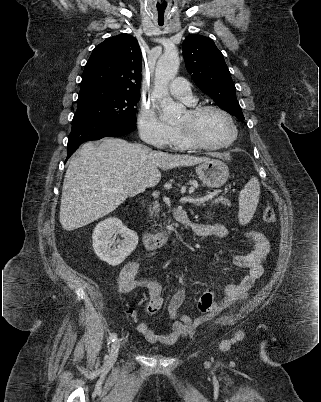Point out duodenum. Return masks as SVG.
Instances as JSON below:
<instances>
[{"mask_svg": "<svg viewBox=\"0 0 321 402\" xmlns=\"http://www.w3.org/2000/svg\"><path fill=\"white\" fill-rule=\"evenodd\" d=\"M172 219L181 220L185 219V215L181 210H175L170 215ZM143 243L148 250H156L162 247L169 238L168 230H161L159 232H143Z\"/></svg>", "mask_w": 321, "mask_h": 402, "instance_id": "1", "label": "duodenum"}]
</instances>
